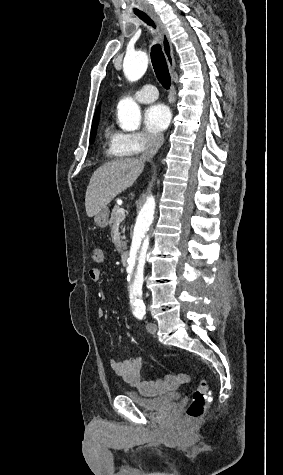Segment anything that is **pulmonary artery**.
Returning <instances> with one entry per match:
<instances>
[{
  "label": "pulmonary artery",
  "instance_id": "e3ab8cb5",
  "mask_svg": "<svg viewBox=\"0 0 283 475\" xmlns=\"http://www.w3.org/2000/svg\"><path fill=\"white\" fill-rule=\"evenodd\" d=\"M158 88L153 85H146L140 90L134 91V97L138 102L149 103L156 99L158 95Z\"/></svg>",
  "mask_w": 283,
  "mask_h": 475
}]
</instances>
